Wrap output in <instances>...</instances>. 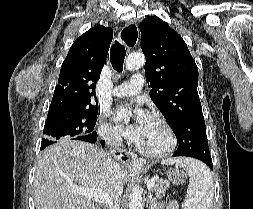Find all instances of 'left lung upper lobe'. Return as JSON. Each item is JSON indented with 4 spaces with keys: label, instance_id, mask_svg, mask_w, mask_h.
Masks as SVG:
<instances>
[{
    "label": "left lung upper lobe",
    "instance_id": "1",
    "mask_svg": "<svg viewBox=\"0 0 253 209\" xmlns=\"http://www.w3.org/2000/svg\"><path fill=\"white\" fill-rule=\"evenodd\" d=\"M150 96L173 130L177 156H210L198 96V68L182 37L157 16L140 23Z\"/></svg>",
    "mask_w": 253,
    "mask_h": 209
}]
</instances>
